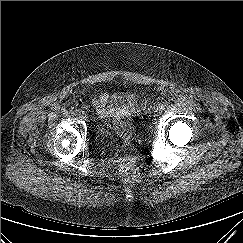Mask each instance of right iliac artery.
Returning <instances> with one entry per match:
<instances>
[{
	"label": "right iliac artery",
	"instance_id": "right-iliac-artery-1",
	"mask_svg": "<svg viewBox=\"0 0 243 243\" xmlns=\"http://www.w3.org/2000/svg\"><path fill=\"white\" fill-rule=\"evenodd\" d=\"M80 113H81V112H80L79 109L74 110V114H75V115H79Z\"/></svg>",
	"mask_w": 243,
	"mask_h": 243
}]
</instances>
